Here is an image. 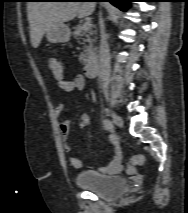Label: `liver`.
Listing matches in <instances>:
<instances>
[{"label": "liver", "instance_id": "1", "mask_svg": "<svg viewBox=\"0 0 188 213\" xmlns=\"http://www.w3.org/2000/svg\"><path fill=\"white\" fill-rule=\"evenodd\" d=\"M95 2H28L27 17L30 25V40L38 48L45 32L54 25L70 21L76 16L91 15Z\"/></svg>", "mask_w": 188, "mask_h": 213}]
</instances>
